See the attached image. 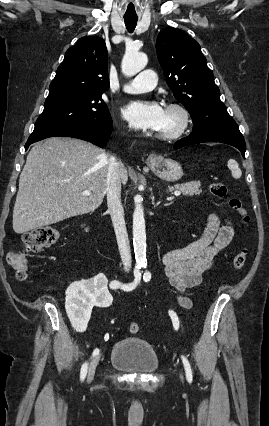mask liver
<instances>
[{"instance_id": "obj_1", "label": "liver", "mask_w": 269, "mask_h": 426, "mask_svg": "<svg viewBox=\"0 0 269 426\" xmlns=\"http://www.w3.org/2000/svg\"><path fill=\"white\" fill-rule=\"evenodd\" d=\"M110 157L76 138L51 137L34 145L20 174L13 230L23 234L95 211L106 194ZM127 180L123 165L121 182ZM85 190L91 194L83 195Z\"/></svg>"}]
</instances>
